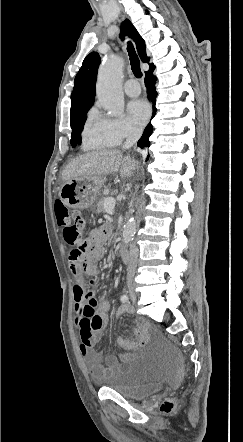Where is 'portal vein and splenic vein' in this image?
Masks as SVG:
<instances>
[{
    "mask_svg": "<svg viewBox=\"0 0 243 442\" xmlns=\"http://www.w3.org/2000/svg\"><path fill=\"white\" fill-rule=\"evenodd\" d=\"M115 203H116L115 199L107 200V201L104 203L105 211H106L108 214H111V215H112V214L114 213Z\"/></svg>",
    "mask_w": 243,
    "mask_h": 442,
    "instance_id": "18ae733b",
    "label": "portal vein and splenic vein"
}]
</instances>
